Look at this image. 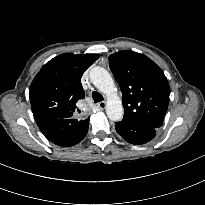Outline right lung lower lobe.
Here are the masks:
<instances>
[{"label":"right lung lower lobe","instance_id":"obj_1","mask_svg":"<svg viewBox=\"0 0 205 205\" xmlns=\"http://www.w3.org/2000/svg\"><path fill=\"white\" fill-rule=\"evenodd\" d=\"M63 127L64 120L60 119L53 120L39 126L41 132L48 140L62 147H69L79 143L86 136L88 131L87 128L79 138H77L76 140H69L63 135Z\"/></svg>","mask_w":205,"mask_h":205}]
</instances>
